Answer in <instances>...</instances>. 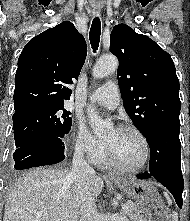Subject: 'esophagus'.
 I'll list each match as a JSON object with an SVG mask.
<instances>
[{
  "label": "esophagus",
  "mask_w": 190,
  "mask_h": 221,
  "mask_svg": "<svg viewBox=\"0 0 190 221\" xmlns=\"http://www.w3.org/2000/svg\"><path fill=\"white\" fill-rule=\"evenodd\" d=\"M94 13L95 14H98L99 13V10H94ZM112 175V174H111Z\"/></svg>",
  "instance_id": "34e87169"
}]
</instances>
